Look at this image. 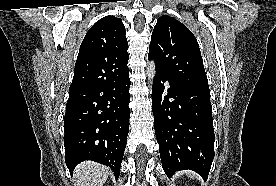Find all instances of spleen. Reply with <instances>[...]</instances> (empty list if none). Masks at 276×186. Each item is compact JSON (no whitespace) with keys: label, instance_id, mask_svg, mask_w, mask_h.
Wrapping results in <instances>:
<instances>
[{"label":"spleen","instance_id":"3e777b00","mask_svg":"<svg viewBox=\"0 0 276 186\" xmlns=\"http://www.w3.org/2000/svg\"><path fill=\"white\" fill-rule=\"evenodd\" d=\"M186 174L190 178H193L195 176V174L193 172H191V171H186Z\"/></svg>","mask_w":276,"mask_h":186}]
</instances>
